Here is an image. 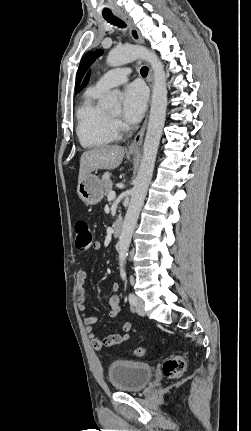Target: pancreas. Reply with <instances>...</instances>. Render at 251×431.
<instances>
[{"label": "pancreas", "instance_id": "1", "mask_svg": "<svg viewBox=\"0 0 251 431\" xmlns=\"http://www.w3.org/2000/svg\"><path fill=\"white\" fill-rule=\"evenodd\" d=\"M112 181L110 179V175L107 173L103 176V186L105 189V195L108 196V194L112 191Z\"/></svg>", "mask_w": 251, "mask_h": 431}]
</instances>
